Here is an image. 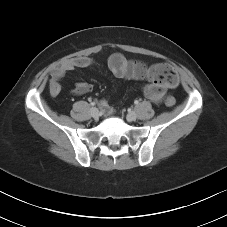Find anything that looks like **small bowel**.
<instances>
[{"mask_svg": "<svg viewBox=\"0 0 227 227\" xmlns=\"http://www.w3.org/2000/svg\"><path fill=\"white\" fill-rule=\"evenodd\" d=\"M94 60L90 57L80 56L74 57L67 62L54 68L51 72L50 80V93L56 96L60 92V82L69 71L76 68H87L94 65ZM108 68L111 73L117 78H126L133 80H146V84L143 87L144 95L154 103H160L165 95L168 88L173 87L165 82H162L154 66H147L143 62L137 60H131L123 56L122 54L116 53L109 57ZM92 85L86 82L77 83L74 86L73 92L76 95H82L90 92ZM101 106L110 110L105 101H101Z\"/></svg>", "mask_w": 227, "mask_h": 227, "instance_id": "small-bowel-1", "label": "small bowel"}]
</instances>
